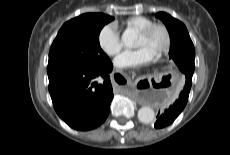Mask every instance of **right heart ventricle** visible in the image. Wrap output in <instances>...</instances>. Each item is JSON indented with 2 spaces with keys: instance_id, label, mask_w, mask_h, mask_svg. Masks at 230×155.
<instances>
[{
  "instance_id": "1",
  "label": "right heart ventricle",
  "mask_w": 230,
  "mask_h": 155,
  "mask_svg": "<svg viewBox=\"0 0 230 155\" xmlns=\"http://www.w3.org/2000/svg\"><path fill=\"white\" fill-rule=\"evenodd\" d=\"M152 23L154 22L150 18L144 16H133L126 19L123 22V25L127 30H133L135 32H139L144 28H146L147 26L151 25Z\"/></svg>"
}]
</instances>
